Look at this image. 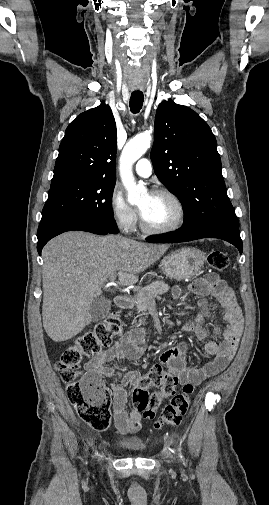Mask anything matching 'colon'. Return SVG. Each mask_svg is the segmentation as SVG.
I'll return each mask as SVG.
<instances>
[{
	"label": "colon",
	"mask_w": 269,
	"mask_h": 505,
	"mask_svg": "<svg viewBox=\"0 0 269 505\" xmlns=\"http://www.w3.org/2000/svg\"><path fill=\"white\" fill-rule=\"evenodd\" d=\"M208 264L215 271H223L229 266L228 255L221 250L208 254ZM121 320L117 311L97 323L91 330L68 346L55 364L62 381L66 384L67 396L78 416L97 431L106 430L111 421L110 399L103 380L94 374H82L80 365L85 359L96 357L103 348L121 333ZM177 379L163 369L152 367L135 385L132 402L145 418H153L159 406L160 397L172 396L155 422V428L178 425L186 414L194 385H183L180 393H175ZM160 389L159 395H151L149 388Z\"/></svg>",
	"instance_id": "obj_1"
}]
</instances>
